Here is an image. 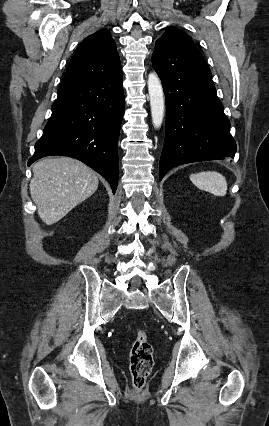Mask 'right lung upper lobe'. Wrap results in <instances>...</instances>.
Returning <instances> with one entry per match:
<instances>
[{"label": "right lung upper lobe", "instance_id": "cb5924a9", "mask_svg": "<svg viewBox=\"0 0 269 426\" xmlns=\"http://www.w3.org/2000/svg\"><path fill=\"white\" fill-rule=\"evenodd\" d=\"M120 70L116 43L107 29H101L77 47L61 85L102 79Z\"/></svg>", "mask_w": 269, "mask_h": 426}]
</instances>
